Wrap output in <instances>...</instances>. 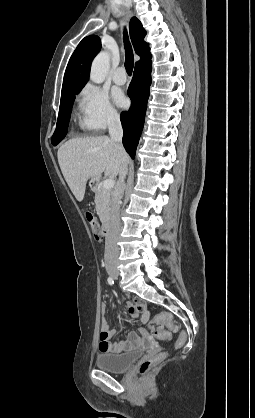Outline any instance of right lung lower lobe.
<instances>
[{"label":"right lung lower lobe","instance_id":"1","mask_svg":"<svg viewBox=\"0 0 255 418\" xmlns=\"http://www.w3.org/2000/svg\"><path fill=\"white\" fill-rule=\"evenodd\" d=\"M151 62L134 70L128 95L132 101L129 111L121 114L123 127V145L129 155L134 158L136 147L144 125L149 87L151 85Z\"/></svg>","mask_w":255,"mask_h":418}]
</instances>
